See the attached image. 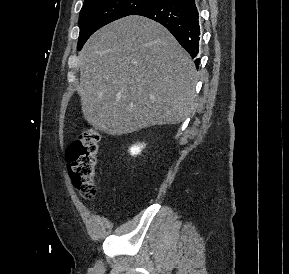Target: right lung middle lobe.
I'll return each instance as SVG.
<instances>
[{
	"mask_svg": "<svg viewBox=\"0 0 289 274\" xmlns=\"http://www.w3.org/2000/svg\"><path fill=\"white\" fill-rule=\"evenodd\" d=\"M157 1L159 0H85L79 16L78 50L99 28L119 18L133 15Z\"/></svg>",
	"mask_w": 289,
	"mask_h": 274,
	"instance_id": "right-lung-middle-lobe-1",
	"label": "right lung middle lobe"
}]
</instances>
